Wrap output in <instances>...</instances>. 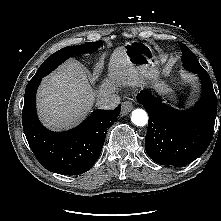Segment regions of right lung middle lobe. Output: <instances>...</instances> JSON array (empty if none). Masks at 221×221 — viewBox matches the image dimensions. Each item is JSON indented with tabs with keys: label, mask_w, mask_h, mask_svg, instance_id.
Wrapping results in <instances>:
<instances>
[{
	"label": "right lung middle lobe",
	"mask_w": 221,
	"mask_h": 221,
	"mask_svg": "<svg viewBox=\"0 0 221 221\" xmlns=\"http://www.w3.org/2000/svg\"><path fill=\"white\" fill-rule=\"evenodd\" d=\"M101 44L102 41H96L88 42L77 46H68L63 49H60L59 51L55 52L50 57H48L42 63V65L39 67L32 79L46 76L47 74L52 72L56 67H58L61 63H63L67 58L73 55H80L83 53L92 52L98 47H100Z\"/></svg>",
	"instance_id": "1"
}]
</instances>
